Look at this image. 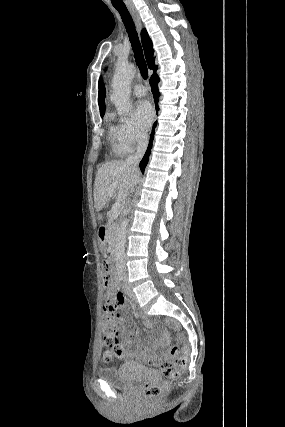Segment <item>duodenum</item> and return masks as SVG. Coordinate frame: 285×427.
Here are the masks:
<instances>
[{
    "instance_id": "duodenum-1",
    "label": "duodenum",
    "mask_w": 285,
    "mask_h": 427,
    "mask_svg": "<svg viewBox=\"0 0 285 427\" xmlns=\"http://www.w3.org/2000/svg\"><path fill=\"white\" fill-rule=\"evenodd\" d=\"M110 232H116V228H113L111 226H101L98 230V240L99 244L101 246H104L106 244V236Z\"/></svg>"
}]
</instances>
